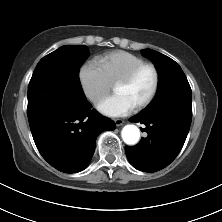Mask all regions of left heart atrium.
<instances>
[{"mask_svg": "<svg viewBox=\"0 0 222 222\" xmlns=\"http://www.w3.org/2000/svg\"><path fill=\"white\" fill-rule=\"evenodd\" d=\"M96 107L99 112L109 117H123L135 109V105L122 94L107 96L99 101Z\"/></svg>", "mask_w": 222, "mask_h": 222, "instance_id": "39dd6f15", "label": "left heart atrium"}]
</instances>
